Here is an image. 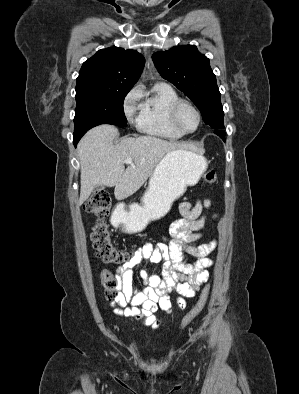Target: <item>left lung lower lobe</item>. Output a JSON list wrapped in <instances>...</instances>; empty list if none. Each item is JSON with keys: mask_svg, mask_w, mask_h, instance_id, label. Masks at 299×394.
<instances>
[{"mask_svg": "<svg viewBox=\"0 0 299 394\" xmlns=\"http://www.w3.org/2000/svg\"><path fill=\"white\" fill-rule=\"evenodd\" d=\"M217 131L215 132L218 136H220L224 141H225V133L220 131L221 129H216Z\"/></svg>", "mask_w": 299, "mask_h": 394, "instance_id": "0a47b994", "label": "left lung lower lobe"}]
</instances>
